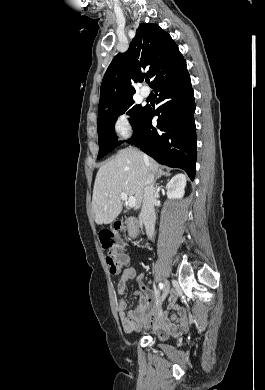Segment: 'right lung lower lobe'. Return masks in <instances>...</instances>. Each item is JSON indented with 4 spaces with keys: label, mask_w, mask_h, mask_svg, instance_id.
Returning <instances> with one entry per match:
<instances>
[{
    "label": "right lung lower lobe",
    "mask_w": 265,
    "mask_h": 390,
    "mask_svg": "<svg viewBox=\"0 0 265 390\" xmlns=\"http://www.w3.org/2000/svg\"><path fill=\"white\" fill-rule=\"evenodd\" d=\"M160 106H148L140 124L127 143L134 144L157 162L183 169L191 180L195 177L196 132L195 103L190 76L184 60L154 86ZM157 115V126L152 118Z\"/></svg>",
    "instance_id": "98d812e1"
}]
</instances>
